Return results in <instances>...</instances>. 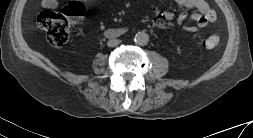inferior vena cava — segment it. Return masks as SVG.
Returning <instances> with one entry per match:
<instances>
[{
  "label": "inferior vena cava",
  "instance_id": "inferior-vena-cava-1",
  "mask_svg": "<svg viewBox=\"0 0 253 138\" xmlns=\"http://www.w3.org/2000/svg\"><path fill=\"white\" fill-rule=\"evenodd\" d=\"M119 43H120V40H118V39H110V40L107 42V45H108L109 47H115V46H117Z\"/></svg>",
  "mask_w": 253,
  "mask_h": 138
}]
</instances>
